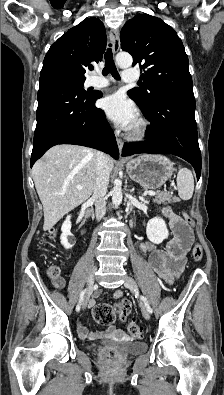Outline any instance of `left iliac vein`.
Segmentation results:
<instances>
[{"label":"left iliac vein","mask_w":224,"mask_h":395,"mask_svg":"<svg viewBox=\"0 0 224 395\" xmlns=\"http://www.w3.org/2000/svg\"><path fill=\"white\" fill-rule=\"evenodd\" d=\"M124 286L130 290H135L136 294H139V290H138V285L137 282L130 276L126 277ZM143 316L145 319L149 320L150 318V312L148 311L147 306L144 304V302H141L140 304Z\"/></svg>","instance_id":"4c4485c4"}]
</instances>
